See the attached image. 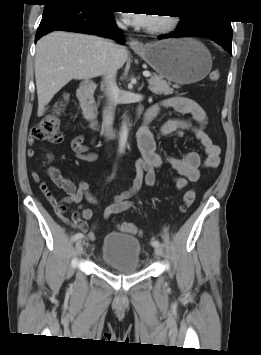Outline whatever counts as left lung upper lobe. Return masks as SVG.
Listing matches in <instances>:
<instances>
[{"label":"left lung upper lobe","mask_w":261,"mask_h":355,"mask_svg":"<svg viewBox=\"0 0 261 355\" xmlns=\"http://www.w3.org/2000/svg\"><path fill=\"white\" fill-rule=\"evenodd\" d=\"M181 20L185 21L186 23H190V22H196L198 18L181 17Z\"/></svg>","instance_id":"1"}]
</instances>
